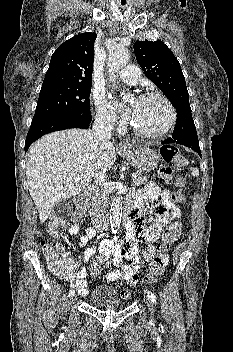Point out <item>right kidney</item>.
<instances>
[{"label":"right kidney","mask_w":233,"mask_h":352,"mask_svg":"<svg viewBox=\"0 0 233 352\" xmlns=\"http://www.w3.org/2000/svg\"><path fill=\"white\" fill-rule=\"evenodd\" d=\"M78 232H79V226L77 224L72 225L71 228L69 229V233L71 235H73V234L77 235Z\"/></svg>","instance_id":"ca27d5eb"}]
</instances>
